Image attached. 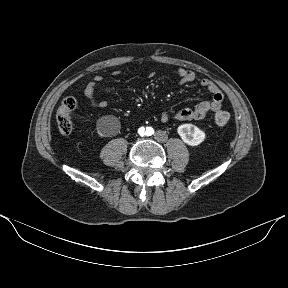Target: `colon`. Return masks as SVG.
<instances>
[{
	"instance_id": "colon-1",
	"label": "colon",
	"mask_w": 288,
	"mask_h": 288,
	"mask_svg": "<svg viewBox=\"0 0 288 288\" xmlns=\"http://www.w3.org/2000/svg\"><path fill=\"white\" fill-rule=\"evenodd\" d=\"M76 107V101L72 97H67L62 100L57 113L56 121L58 129L62 134L68 135L73 130V115ZM230 115L223 110L216 111L214 115L215 123L218 126H224L228 123Z\"/></svg>"
}]
</instances>
